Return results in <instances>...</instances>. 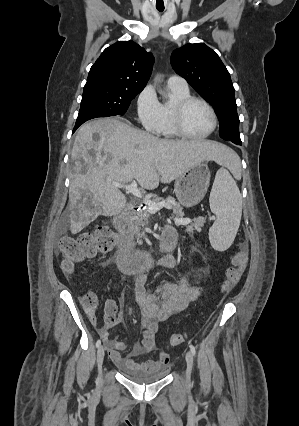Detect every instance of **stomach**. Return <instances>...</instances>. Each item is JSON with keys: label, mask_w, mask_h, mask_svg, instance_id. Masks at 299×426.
I'll return each instance as SVG.
<instances>
[{"label": "stomach", "mask_w": 299, "mask_h": 426, "mask_svg": "<svg viewBox=\"0 0 299 426\" xmlns=\"http://www.w3.org/2000/svg\"><path fill=\"white\" fill-rule=\"evenodd\" d=\"M209 183L210 171L206 162L190 167L174 184L179 203L184 207L197 205L204 198Z\"/></svg>", "instance_id": "0dacf381"}]
</instances>
